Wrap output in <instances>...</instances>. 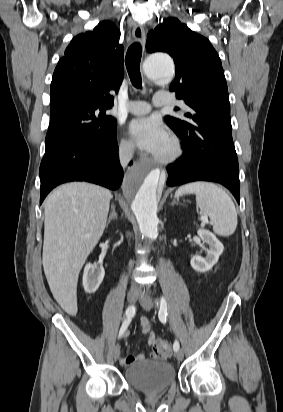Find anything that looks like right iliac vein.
<instances>
[{
    "mask_svg": "<svg viewBox=\"0 0 283 412\" xmlns=\"http://www.w3.org/2000/svg\"><path fill=\"white\" fill-rule=\"evenodd\" d=\"M139 293H140V290L138 288H131L129 293H128V296H127L128 302L129 303H134L136 301ZM112 354H113V357H114L115 360H117L119 358V356H120V345L119 344H115L113 346Z\"/></svg>",
    "mask_w": 283,
    "mask_h": 412,
    "instance_id": "right-iliac-vein-1",
    "label": "right iliac vein"
}]
</instances>
